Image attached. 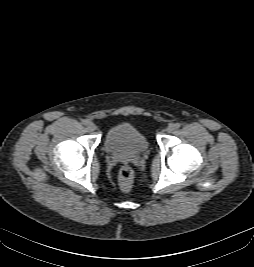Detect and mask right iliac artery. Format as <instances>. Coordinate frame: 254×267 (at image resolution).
<instances>
[{"label":"right iliac artery","instance_id":"1","mask_svg":"<svg viewBox=\"0 0 254 267\" xmlns=\"http://www.w3.org/2000/svg\"><path fill=\"white\" fill-rule=\"evenodd\" d=\"M81 123H82L83 125H86V124H87V121H86V120H82Z\"/></svg>","mask_w":254,"mask_h":267}]
</instances>
